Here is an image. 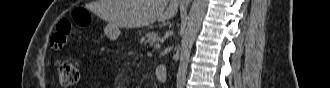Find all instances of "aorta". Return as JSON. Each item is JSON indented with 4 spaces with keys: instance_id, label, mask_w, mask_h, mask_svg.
Listing matches in <instances>:
<instances>
[{
    "instance_id": "1",
    "label": "aorta",
    "mask_w": 330,
    "mask_h": 88,
    "mask_svg": "<svg viewBox=\"0 0 330 88\" xmlns=\"http://www.w3.org/2000/svg\"><path fill=\"white\" fill-rule=\"evenodd\" d=\"M208 0H193L188 15L187 26L181 40L180 63L177 72L176 87L184 88L191 49L200 30L206 12Z\"/></svg>"
}]
</instances>
